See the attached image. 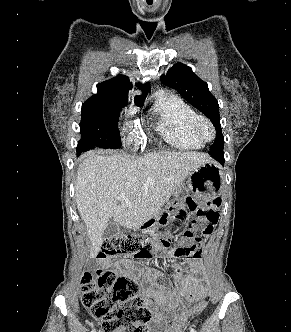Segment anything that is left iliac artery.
Listing matches in <instances>:
<instances>
[{
	"mask_svg": "<svg viewBox=\"0 0 291 332\" xmlns=\"http://www.w3.org/2000/svg\"><path fill=\"white\" fill-rule=\"evenodd\" d=\"M190 332H196V330H195V329H193V328H191V329H190Z\"/></svg>",
	"mask_w": 291,
	"mask_h": 332,
	"instance_id": "obj_1",
	"label": "left iliac artery"
}]
</instances>
